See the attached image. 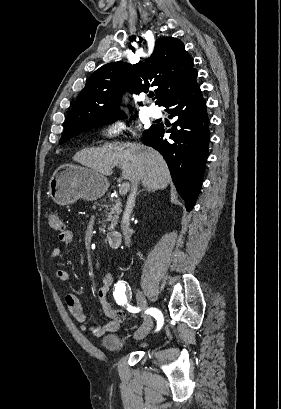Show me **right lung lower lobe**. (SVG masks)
<instances>
[{
	"instance_id": "obj_1",
	"label": "right lung lower lobe",
	"mask_w": 281,
	"mask_h": 409,
	"mask_svg": "<svg viewBox=\"0 0 281 409\" xmlns=\"http://www.w3.org/2000/svg\"><path fill=\"white\" fill-rule=\"evenodd\" d=\"M196 76L195 69L188 81L162 104L175 120L172 126L154 124L141 138L164 156L188 211L195 205L201 188L210 139L206 104ZM166 133L170 136L164 138Z\"/></svg>"
}]
</instances>
